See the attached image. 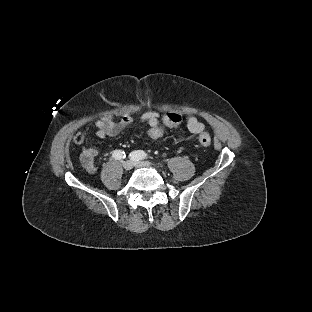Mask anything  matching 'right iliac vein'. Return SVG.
I'll list each match as a JSON object with an SVG mask.
<instances>
[{
    "label": "right iliac vein",
    "mask_w": 312,
    "mask_h": 312,
    "mask_svg": "<svg viewBox=\"0 0 312 312\" xmlns=\"http://www.w3.org/2000/svg\"><path fill=\"white\" fill-rule=\"evenodd\" d=\"M123 168L125 169V170H131L132 169V167H133V164H132V162L131 161H125V162H123Z\"/></svg>",
    "instance_id": "63e3f726"
}]
</instances>
